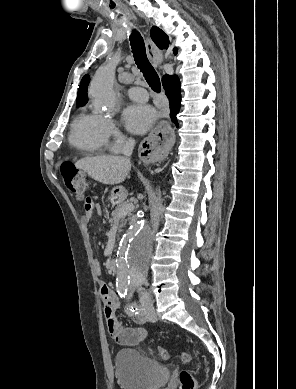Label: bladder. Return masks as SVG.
I'll list each match as a JSON object with an SVG mask.
<instances>
[{
    "instance_id": "31cf9c89",
    "label": "bladder",
    "mask_w": 296,
    "mask_h": 389,
    "mask_svg": "<svg viewBox=\"0 0 296 389\" xmlns=\"http://www.w3.org/2000/svg\"><path fill=\"white\" fill-rule=\"evenodd\" d=\"M114 363L122 389H159L169 378L167 367L145 358L135 349L118 351Z\"/></svg>"
}]
</instances>
